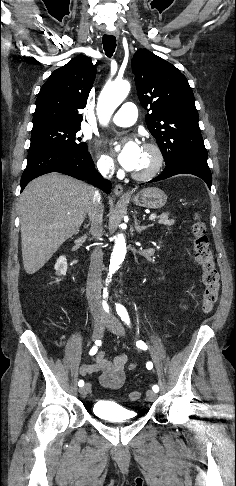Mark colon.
Masks as SVG:
<instances>
[{
  "label": "colon",
  "mask_w": 236,
  "mask_h": 486,
  "mask_svg": "<svg viewBox=\"0 0 236 486\" xmlns=\"http://www.w3.org/2000/svg\"><path fill=\"white\" fill-rule=\"evenodd\" d=\"M191 234L195 260L202 270L204 293L201 308L205 314H209L212 312L219 296V273L215 266L214 254L210 247L209 238L206 235L205 225L198 215H195L191 226ZM129 398L132 401H137L141 398V393L133 391L129 394Z\"/></svg>",
  "instance_id": "obj_1"
}]
</instances>
